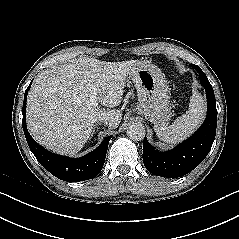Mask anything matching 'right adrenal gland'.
Listing matches in <instances>:
<instances>
[{
	"instance_id": "obj_1",
	"label": "right adrenal gland",
	"mask_w": 239,
	"mask_h": 239,
	"mask_svg": "<svg viewBox=\"0 0 239 239\" xmlns=\"http://www.w3.org/2000/svg\"><path fill=\"white\" fill-rule=\"evenodd\" d=\"M96 127H97V124H95V125H94V127H93V131H92V133H91V137L93 136V134H94V132H95V129H96ZM91 137H90V138H91Z\"/></svg>"
}]
</instances>
